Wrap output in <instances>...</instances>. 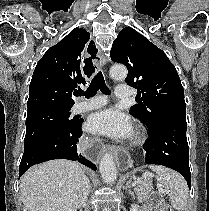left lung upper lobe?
<instances>
[{
    "instance_id": "left-lung-upper-lobe-1",
    "label": "left lung upper lobe",
    "mask_w": 209,
    "mask_h": 211,
    "mask_svg": "<svg viewBox=\"0 0 209 211\" xmlns=\"http://www.w3.org/2000/svg\"><path fill=\"white\" fill-rule=\"evenodd\" d=\"M111 59L128 68L125 82L137 88L139 104L130 114L154 131L163 121L186 118L184 91L166 54L134 29L124 28L114 40Z\"/></svg>"
}]
</instances>
